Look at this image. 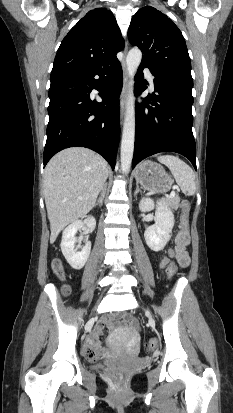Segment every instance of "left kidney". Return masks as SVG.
Wrapping results in <instances>:
<instances>
[{"label": "left kidney", "instance_id": "obj_1", "mask_svg": "<svg viewBox=\"0 0 233 413\" xmlns=\"http://www.w3.org/2000/svg\"><path fill=\"white\" fill-rule=\"evenodd\" d=\"M155 211V224L149 226L144 237L148 247L153 251L162 250L171 238V232L174 226V215L164 202L155 203L149 198H142L139 202L141 212Z\"/></svg>", "mask_w": 233, "mask_h": 413}]
</instances>
